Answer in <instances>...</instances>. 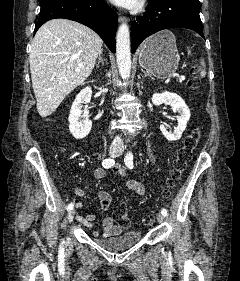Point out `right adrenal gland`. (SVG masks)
<instances>
[{
  "mask_svg": "<svg viewBox=\"0 0 240 281\" xmlns=\"http://www.w3.org/2000/svg\"><path fill=\"white\" fill-rule=\"evenodd\" d=\"M102 51H103V50H101L100 53H99L98 62H97V64H96V68H97V69L99 68L100 63L103 64Z\"/></svg>",
  "mask_w": 240,
  "mask_h": 281,
  "instance_id": "obj_1",
  "label": "right adrenal gland"
}]
</instances>
